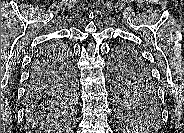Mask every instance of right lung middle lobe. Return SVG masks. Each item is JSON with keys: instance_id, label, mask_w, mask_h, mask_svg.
Wrapping results in <instances>:
<instances>
[{"instance_id": "obj_1", "label": "right lung middle lobe", "mask_w": 184, "mask_h": 133, "mask_svg": "<svg viewBox=\"0 0 184 133\" xmlns=\"http://www.w3.org/2000/svg\"><path fill=\"white\" fill-rule=\"evenodd\" d=\"M50 53L58 55L59 64L54 69L53 84L38 97L26 98V110L30 117L40 115L56 107L72 106L74 103L75 72L68 50L59 43L47 46ZM67 52V56L64 54Z\"/></svg>"}]
</instances>
